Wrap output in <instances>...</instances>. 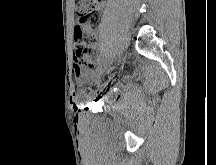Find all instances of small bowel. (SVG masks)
<instances>
[{
	"label": "small bowel",
	"mask_w": 216,
	"mask_h": 165,
	"mask_svg": "<svg viewBox=\"0 0 216 165\" xmlns=\"http://www.w3.org/2000/svg\"><path fill=\"white\" fill-rule=\"evenodd\" d=\"M73 71H74V74L77 78H81L82 76H84V73H83L81 67H79L77 64L74 65ZM74 95H75V93H74Z\"/></svg>",
	"instance_id": "1"
}]
</instances>
